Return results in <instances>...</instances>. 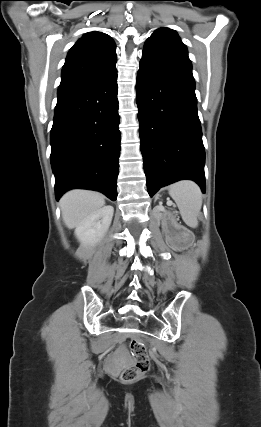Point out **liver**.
<instances>
[{
	"instance_id": "1",
	"label": "liver",
	"mask_w": 261,
	"mask_h": 427,
	"mask_svg": "<svg viewBox=\"0 0 261 427\" xmlns=\"http://www.w3.org/2000/svg\"><path fill=\"white\" fill-rule=\"evenodd\" d=\"M104 204V196L98 192L71 190L60 200L63 221L69 229L75 228Z\"/></svg>"
}]
</instances>
